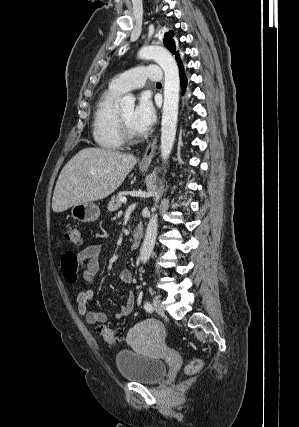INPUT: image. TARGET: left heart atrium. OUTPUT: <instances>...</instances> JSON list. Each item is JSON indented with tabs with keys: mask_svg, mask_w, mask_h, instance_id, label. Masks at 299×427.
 I'll return each mask as SVG.
<instances>
[{
	"mask_svg": "<svg viewBox=\"0 0 299 427\" xmlns=\"http://www.w3.org/2000/svg\"><path fill=\"white\" fill-rule=\"evenodd\" d=\"M155 109L147 96H142L136 105L133 115L132 124L138 132L148 131L155 122Z\"/></svg>",
	"mask_w": 299,
	"mask_h": 427,
	"instance_id": "left-heart-atrium-1",
	"label": "left heart atrium"
}]
</instances>
